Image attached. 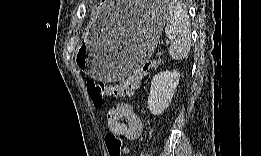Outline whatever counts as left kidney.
<instances>
[{"mask_svg":"<svg viewBox=\"0 0 261 156\" xmlns=\"http://www.w3.org/2000/svg\"><path fill=\"white\" fill-rule=\"evenodd\" d=\"M179 79L180 73L176 70L163 71L153 77L147 106L153 115L162 114L169 106Z\"/></svg>","mask_w":261,"mask_h":156,"instance_id":"1","label":"left kidney"}]
</instances>
